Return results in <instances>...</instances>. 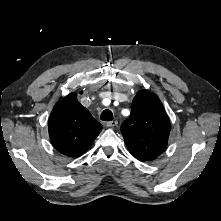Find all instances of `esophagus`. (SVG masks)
<instances>
[{
  "label": "esophagus",
  "mask_w": 221,
  "mask_h": 221,
  "mask_svg": "<svg viewBox=\"0 0 221 221\" xmlns=\"http://www.w3.org/2000/svg\"><path fill=\"white\" fill-rule=\"evenodd\" d=\"M117 124H118V122H117L116 120H114V121L107 122V123H106V126H107V127H114V126H116Z\"/></svg>",
  "instance_id": "esophagus-1"
}]
</instances>
